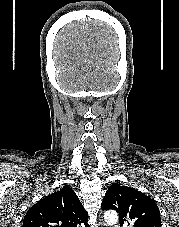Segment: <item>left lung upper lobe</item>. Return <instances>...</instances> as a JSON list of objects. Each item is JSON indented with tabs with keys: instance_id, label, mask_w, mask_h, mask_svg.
<instances>
[{
	"instance_id": "1",
	"label": "left lung upper lobe",
	"mask_w": 179,
	"mask_h": 227,
	"mask_svg": "<svg viewBox=\"0 0 179 227\" xmlns=\"http://www.w3.org/2000/svg\"><path fill=\"white\" fill-rule=\"evenodd\" d=\"M102 210H116L119 222L131 227H161L157 204L149 196L131 187L113 183L107 190Z\"/></svg>"
}]
</instances>
